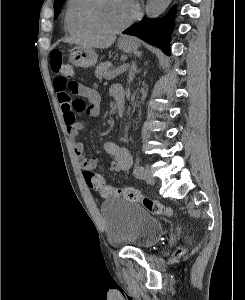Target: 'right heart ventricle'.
<instances>
[{
    "label": "right heart ventricle",
    "instance_id": "right-heart-ventricle-1",
    "mask_svg": "<svg viewBox=\"0 0 245 300\" xmlns=\"http://www.w3.org/2000/svg\"><path fill=\"white\" fill-rule=\"evenodd\" d=\"M87 0H68L65 12V26L72 34L96 33L84 21L83 12Z\"/></svg>",
    "mask_w": 245,
    "mask_h": 300
}]
</instances>
